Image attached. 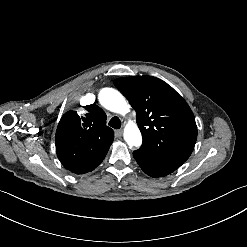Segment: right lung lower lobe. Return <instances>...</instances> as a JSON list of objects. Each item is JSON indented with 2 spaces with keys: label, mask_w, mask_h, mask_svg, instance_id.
<instances>
[{
  "label": "right lung lower lobe",
  "mask_w": 247,
  "mask_h": 247,
  "mask_svg": "<svg viewBox=\"0 0 247 247\" xmlns=\"http://www.w3.org/2000/svg\"><path fill=\"white\" fill-rule=\"evenodd\" d=\"M97 166L95 167H92V168H85V169H77L76 171H71L73 173H76V174H84V173H87V172H91L92 170H94Z\"/></svg>",
  "instance_id": "1"
}]
</instances>
